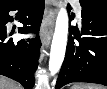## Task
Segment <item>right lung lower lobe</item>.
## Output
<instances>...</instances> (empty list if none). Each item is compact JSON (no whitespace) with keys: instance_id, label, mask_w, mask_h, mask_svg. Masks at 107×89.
Segmentation results:
<instances>
[{"instance_id":"98d812e1","label":"right lung lower lobe","mask_w":107,"mask_h":89,"mask_svg":"<svg viewBox=\"0 0 107 89\" xmlns=\"http://www.w3.org/2000/svg\"><path fill=\"white\" fill-rule=\"evenodd\" d=\"M44 0H11L0 5V74L7 76L25 89H32L34 72L38 66L40 39L37 36L32 40L6 41V23L13 21L10 11L18 10L20 22L25 27L19 28L20 33H38L43 12Z\"/></svg>"}]
</instances>
